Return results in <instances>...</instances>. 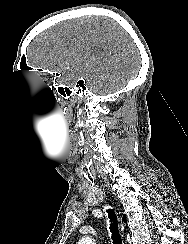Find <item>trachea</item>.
Segmentation results:
<instances>
[{
    "mask_svg": "<svg viewBox=\"0 0 188 244\" xmlns=\"http://www.w3.org/2000/svg\"><path fill=\"white\" fill-rule=\"evenodd\" d=\"M108 218L110 219V232L113 240V244H122V238L118 231L117 217L113 209H107Z\"/></svg>",
    "mask_w": 188,
    "mask_h": 244,
    "instance_id": "trachea-1",
    "label": "trachea"
}]
</instances>
